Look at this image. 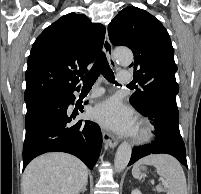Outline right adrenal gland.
Masks as SVG:
<instances>
[{"mask_svg": "<svg viewBox=\"0 0 201 194\" xmlns=\"http://www.w3.org/2000/svg\"><path fill=\"white\" fill-rule=\"evenodd\" d=\"M86 185L81 189V193H84L86 191Z\"/></svg>", "mask_w": 201, "mask_h": 194, "instance_id": "obj_1", "label": "right adrenal gland"}]
</instances>
